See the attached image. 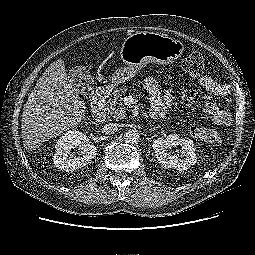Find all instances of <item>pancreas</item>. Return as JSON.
Segmentation results:
<instances>
[{
	"label": "pancreas",
	"instance_id": "obj_1",
	"mask_svg": "<svg viewBox=\"0 0 255 255\" xmlns=\"http://www.w3.org/2000/svg\"><path fill=\"white\" fill-rule=\"evenodd\" d=\"M126 93L127 89L125 87L122 86L121 88H116L112 93V97L108 100L106 109L110 115L113 114L115 119H122L125 117L126 111L124 110L121 101Z\"/></svg>",
	"mask_w": 255,
	"mask_h": 255
}]
</instances>
